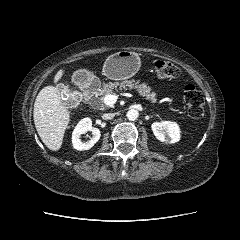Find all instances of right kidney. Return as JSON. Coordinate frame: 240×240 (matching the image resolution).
I'll list each match as a JSON object with an SVG mask.
<instances>
[{"label": "right kidney", "mask_w": 240, "mask_h": 240, "mask_svg": "<svg viewBox=\"0 0 240 240\" xmlns=\"http://www.w3.org/2000/svg\"><path fill=\"white\" fill-rule=\"evenodd\" d=\"M87 131L92 132V138L87 142H81V134H84ZM100 136V130L92 126V120L90 118H84L79 121L72 133L73 147L79 151L88 150L92 148L96 142H98Z\"/></svg>", "instance_id": "ca27d5eb"}]
</instances>
